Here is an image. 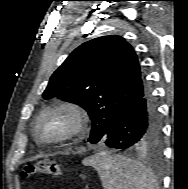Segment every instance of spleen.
Returning a JSON list of instances; mask_svg holds the SVG:
<instances>
[{
	"instance_id": "obj_1",
	"label": "spleen",
	"mask_w": 188,
	"mask_h": 189,
	"mask_svg": "<svg viewBox=\"0 0 188 189\" xmlns=\"http://www.w3.org/2000/svg\"><path fill=\"white\" fill-rule=\"evenodd\" d=\"M100 176L105 189H156V180L143 164L122 155L101 151L83 160Z\"/></svg>"
}]
</instances>
